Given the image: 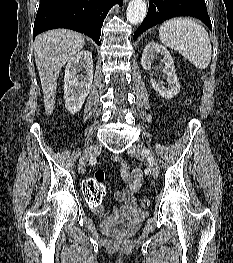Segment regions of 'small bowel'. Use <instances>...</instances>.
<instances>
[{"instance_id":"small-bowel-1","label":"small bowel","mask_w":233,"mask_h":263,"mask_svg":"<svg viewBox=\"0 0 233 263\" xmlns=\"http://www.w3.org/2000/svg\"><path fill=\"white\" fill-rule=\"evenodd\" d=\"M113 161L119 165L120 175L125 184L123 190L116 191L114 194L115 200L120 203H123L121 207L116 209V212H120L135 205L136 200L134 198V194L138 192L142 186L143 173L140 169H131L130 165L119 156H115L113 158ZM92 175L94 176V174ZM92 209L96 214L100 215L101 217L105 216L101 204L96 205V207Z\"/></svg>"}]
</instances>
